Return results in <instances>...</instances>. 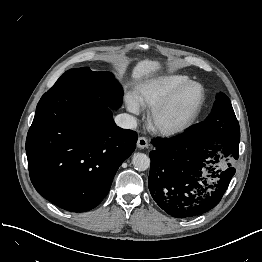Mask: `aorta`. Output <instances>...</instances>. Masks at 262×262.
I'll return each mask as SVG.
<instances>
[{"label":"aorta","mask_w":262,"mask_h":262,"mask_svg":"<svg viewBox=\"0 0 262 262\" xmlns=\"http://www.w3.org/2000/svg\"><path fill=\"white\" fill-rule=\"evenodd\" d=\"M132 163L137 171H145L150 167V158L144 153H137L133 156Z\"/></svg>","instance_id":"1"}]
</instances>
